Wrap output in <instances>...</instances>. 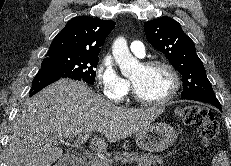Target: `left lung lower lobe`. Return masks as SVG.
<instances>
[{
  "label": "left lung lower lobe",
  "instance_id": "1",
  "mask_svg": "<svg viewBox=\"0 0 231 166\" xmlns=\"http://www.w3.org/2000/svg\"><path fill=\"white\" fill-rule=\"evenodd\" d=\"M185 99L207 102V103L214 105L215 107H217L219 110L222 111L221 104L219 103L216 96L189 97V98H185Z\"/></svg>",
  "mask_w": 231,
  "mask_h": 166
}]
</instances>
